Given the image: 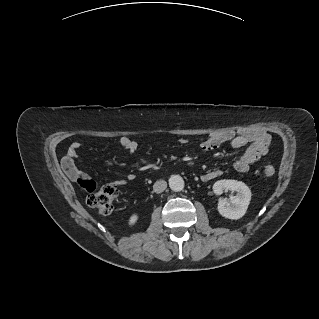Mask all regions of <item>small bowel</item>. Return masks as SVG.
I'll return each instance as SVG.
<instances>
[{
  "mask_svg": "<svg viewBox=\"0 0 319 319\" xmlns=\"http://www.w3.org/2000/svg\"><path fill=\"white\" fill-rule=\"evenodd\" d=\"M184 143V141H181ZM270 142V136L264 131H252V132H235L226 131L215 133L209 136L200 144V148L205 152H211L219 148L223 144H230L233 148H243L247 146L246 150L240 158L234 162V168L240 173L247 172L250 167L258 162L268 150ZM119 145L130 153H134L138 149V145L135 141L128 136H120L118 138ZM80 147L79 143H73L70 148V156L75 157L76 152ZM223 174L221 170H210L201 175V180L208 182L212 181ZM71 177L77 181L80 178L88 179L87 175L77 170H72ZM133 179V175L129 174L126 179L119 178L113 181V184L117 187L125 186L129 180Z\"/></svg>",
  "mask_w": 319,
  "mask_h": 319,
  "instance_id": "c3829d8e",
  "label": "small bowel"
}]
</instances>
